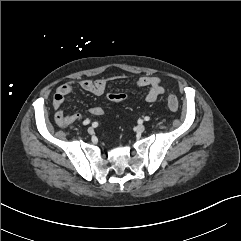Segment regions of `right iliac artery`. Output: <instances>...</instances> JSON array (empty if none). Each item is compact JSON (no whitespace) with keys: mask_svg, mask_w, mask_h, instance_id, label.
Segmentation results:
<instances>
[{"mask_svg":"<svg viewBox=\"0 0 241 241\" xmlns=\"http://www.w3.org/2000/svg\"><path fill=\"white\" fill-rule=\"evenodd\" d=\"M89 123H90V120H89V119H86V120L83 121V125H87V124H89Z\"/></svg>","mask_w":241,"mask_h":241,"instance_id":"82829eb1","label":"right iliac artery"}]
</instances>
